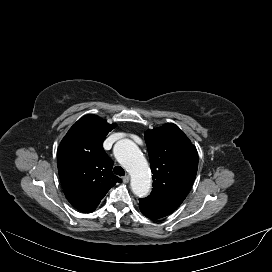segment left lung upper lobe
<instances>
[{
    "label": "left lung upper lobe",
    "instance_id": "5c2ea615",
    "mask_svg": "<svg viewBox=\"0 0 272 272\" xmlns=\"http://www.w3.org/2000/svg\"><path fill=\"white\" fill-rule=\"evenodd\" d=\"M153 190L140 199V210L155 218L175 211L186 198L196 177L198 153L183 131L172 123L146 132Z\"/></svg>",
    "mask_w": 272,
    "mask_h": 272
}]
</instances>
